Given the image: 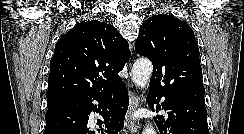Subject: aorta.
Masks as SVG:
<instances>
[{
  "label": "aorta",
  "mask_w": 244,
  "mask_h": 134,
  "mask_svg": "<svg viewBox=\"0 0 244 134\" xmlns=\"http://www.w3.org/2000/svg\"><path fill=\"white\" fill-rule=\"evenodd\" d=\"M152 63L147 58H139L135 61L132 68V79L134 83L141 89H144L152 74ZM143 134H156V131L151 125H147Z\"/></svg>",
  "instance_id": "obj_1"
}]
</instances>
